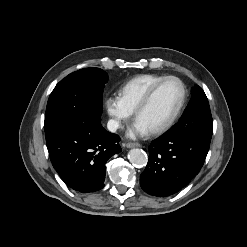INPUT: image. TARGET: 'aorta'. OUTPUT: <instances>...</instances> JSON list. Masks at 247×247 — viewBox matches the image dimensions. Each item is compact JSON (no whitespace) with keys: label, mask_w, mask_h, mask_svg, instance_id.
Listing matches in <instances>:
<instances>
[{"label":"aorta","mask_w":247,"mask_h":247,"mask_svg":"<svg viewBox=\"0 0 247 247\" xmlns=\"http://www.w3.org/2000/svg\"><path fill=\"white\" fill-rule=\"evenodd\" d=\"M128 159L136 167H144L148 162L146 152L138 148H134L129 151Z\"/></svg>","instance_id":"1"}]
</instances>
